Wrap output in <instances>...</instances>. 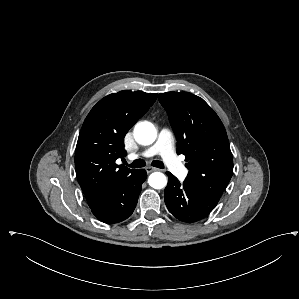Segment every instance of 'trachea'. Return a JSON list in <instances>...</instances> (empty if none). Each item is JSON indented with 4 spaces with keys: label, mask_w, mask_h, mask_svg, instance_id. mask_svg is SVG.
I'll list each match as a JSON object with an SVG mask.
<instances>
[{
    "label": "trachea",
    "mask_w": 299,
    "mask_h": 299,
    "mask_svg": "<svg viewBox=\"0 0 299 299\" xmlns=\"http://www.w3.org/2000/svg\"><path fill=\"white\" fill-rule=\"evenodd\" d=\"M126 165L127 162H125ZM146 165L145 161L142 160V159H137V160H134L129 166L132 167V168H141V167H144ZM152 166L154 167H157V168H164V164L163 162L161 161H158V160H154L152 163H151Z\"/></svg>",
    "instance_id": "3493384b"
}]
</instances>
